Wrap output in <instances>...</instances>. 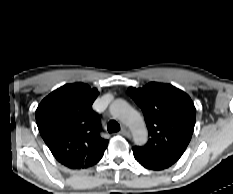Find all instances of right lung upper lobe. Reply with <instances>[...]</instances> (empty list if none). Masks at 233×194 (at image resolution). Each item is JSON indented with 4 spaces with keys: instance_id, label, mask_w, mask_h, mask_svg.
<instances>
[{
    "instance_id": "1",
    "label": "right lung upper lobe",
    "mask_w": 233,
    "mask_h": 194,
    "mask_svg": "<svg viewBox=\"0 0 233 194\" xmlns=\"http://www.w3.org/2000/svg\"><path fill=\"white\" fill-rule=\"evenodd\" d=\"M97 96V89L85 84H67L49 94L36 111L42 138L69 168L96 164L108 145L101 136L100 117L91 110Z\"/></svg>"
}]
</instances>
